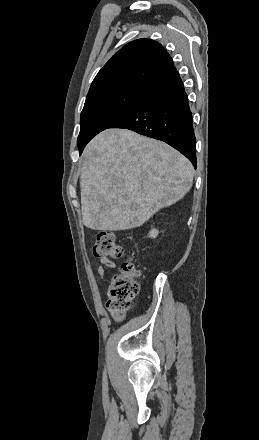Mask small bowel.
<instances>
[{
    "instance_id": "small-bowel-1",
    "label": "small bowel",
    "mask_w": 259,
    "mask_h": 440,
    "mask_svg": "<svg viewBox=\"0 0 259 440\" xmlns=\"http://www.w3.org/2000/svg\"><path fill=\"white\" fill-rule=\"evenodd\" d=\"M115 264L109 258H101L100 263L97 265V272L101 276H106L108 270L113 269Z\"/></svg>"
}]
</instances>
